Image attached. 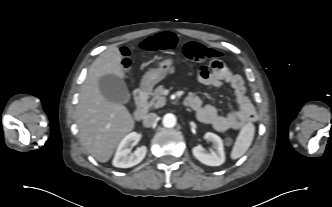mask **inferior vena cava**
<instances>
[{"instance_id":"obj_1","label":"inferior vena cava","mask_w":332,"mask_h":207,"mask_svg":"<svg viewBox=\"0 0 332 207\" xmlns=\"http://www.w3.org/2000/svg\"><path fill=\"white\" fill-rule=\"evenodd\" d=\"M157 119V115L155 113H149L145 116L143 120V125L146 127H151Z\"/></svg>"}]
</instances>
